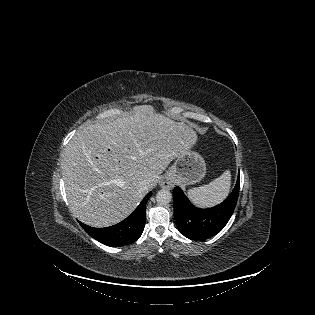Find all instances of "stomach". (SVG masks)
<instances>
[{"label": "stomach", "mask_w": 315, "mask_h": 315, "mask_svg": "<svg viewBox=\"0 0 315 315\" xmlns=\"http://www.w3.org/2000/svg\"><path fill=\"white\" fill-rule=\"evenodd\" d=\"M206 173V164L201 155L189 151L176 158L169 167L165 180L170 183L192 185L203 179Z\"/></svg>", "instance_id": "1"}]
</instances>
